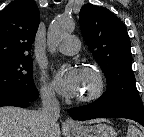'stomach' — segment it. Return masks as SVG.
Here are the masks:
<instances>
[{
  "label": "stomach",
  "mask_w": 144,
  "mask_h": 137,
  "mask_svg": "<svg viewBox=\"0 0 144 137\" xmlns=\"http://www.w3.org/2000/svg\"><path fill=\"white\" fill-rule=\"evenodd\" d=\"M75 137H117L113 127L105 123L90 126H80L71 130Z\"/></svg>",
  "instance_id": "0dacf381"
}]
</instances>
